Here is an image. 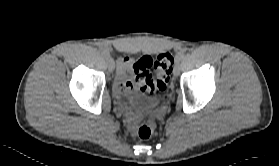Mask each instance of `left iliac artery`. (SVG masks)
Instances as JSON below:
<instances>
[{"mask_svg": "<svg viewBox=\"0 0 279 166\" xmlns=\"http://www.w3.org/2000/svg\"><path fill=\"white\" fill-rule=\"evenodd\" d=\"M184 57H185L184 52L178 53L177 56H176V62H180Z\"/></svg>", "mask_w": 279, "mask_h": 166, "instance_id": "44dca946", "label": "left iliac artery"}]
</instances>
